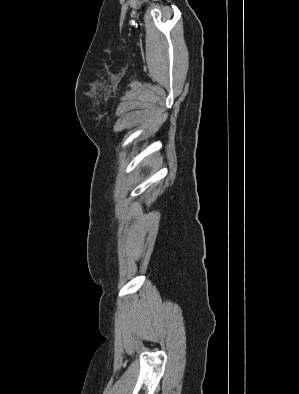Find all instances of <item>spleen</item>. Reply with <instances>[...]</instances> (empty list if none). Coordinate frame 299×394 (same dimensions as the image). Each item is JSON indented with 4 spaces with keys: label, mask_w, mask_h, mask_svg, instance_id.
<instances>
[{
    "label": "spleen",
    "mask_w": 299,
    "mask_h": 394,
    "mask_svg": "<svg viewBox=\"0 0 299 394\" xmlns=\"http://www.w3.org/2000/svg\"><path fill=\"white\" fill-rule=\"evenodd\" d=\"M150 163V159L146 160L144 164H149Z\"/></svg>",
    "instance_id": "spleen-1"
}]
</instances>
